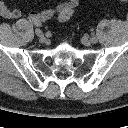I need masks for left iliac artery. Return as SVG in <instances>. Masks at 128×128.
<instances>
[{"label": "left iliac artery", "instance_id": "obj_1", "mask_svg": "<svg viewBox=\"0 0 128 128\" xmlns=\"http://www.w3.org/2000/svg\"><path fill=\"white\" fill-rule=\"evenodd\" d=\"M91 41H92V43H96V42H97L96 37H92V38H91Z\"/></svg>", "mask_w": 128, "mask_h": 128}]
</instances>
